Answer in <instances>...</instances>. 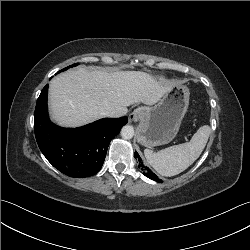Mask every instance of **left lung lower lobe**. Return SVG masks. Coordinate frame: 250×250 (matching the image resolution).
Segmentation results:
<instances>
[{
	"mask_svg": "<svg viewBox=\"0 0 250 250\" xmlns=\"http://www.w3.org/2000/svg\"><path fill=\"white\" fill-rule=\"evenodd\" d=\"M135 158H137L139 160V168L143 171V174L145 176H147L148 178L155 180L157 182H161L160 179L149 168H146L143 165L142 160H141L140 156L137 154V152H135Z\"/></svg>",
	"mask_w": 250,
	"mask_h": 250,
	"instance_id": "obj_1",
	"label": "left lung lower lobe"
}]
</instances>
